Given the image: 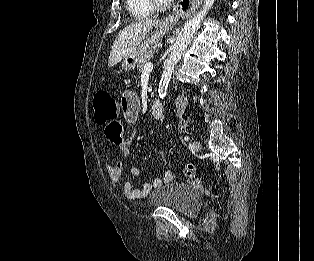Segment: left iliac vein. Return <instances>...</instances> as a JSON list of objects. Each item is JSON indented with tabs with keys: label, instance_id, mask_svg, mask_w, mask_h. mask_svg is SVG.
Here are the masks:
<instances>
[{
	"label": "left iliac vein",
	"instance_id": "1",
	"mask_svg": "<svg viewBox=\"0 0 314 261\" xmlns=\"http://www.w3.org/2000/svg\"><path fill=\"white\" fill-rule=\"evenodd\" d=\"M192 147H193V150H194L195 152H199L200 149H201V144H200L199 141L194 140L193 143H192Z\"/></svg>",
	"mask_w": 314,
	"mask_h": 261
}]
</instances>
